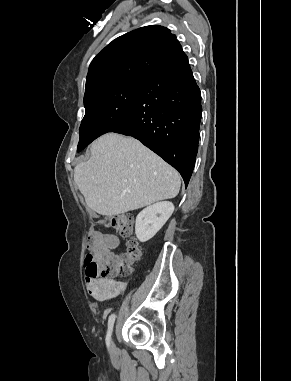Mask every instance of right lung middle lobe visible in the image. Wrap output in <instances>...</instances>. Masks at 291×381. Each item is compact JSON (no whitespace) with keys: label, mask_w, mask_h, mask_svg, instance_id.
Instances as JSON below:
<instances>
[{"label":"right lung middle lobe","mask_w":291,"mask_h":381,"mask_svg":"<svg viewBox=\"0 0 291 381\" xmlns=\"http://www.w3.org/2000/svg\"><path fill=\"white\" fill-rule=\"evenodd\" d=\"M144 81H129L100 90L84 99L85 116L80 125L77 152L99 136L126 123Z\"/></svg>","instance_id":"right-lung-middle-lobe-1"}]
</instances>
